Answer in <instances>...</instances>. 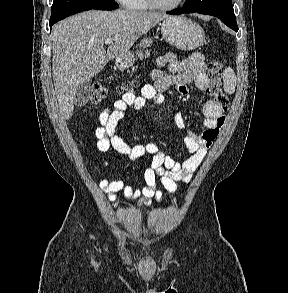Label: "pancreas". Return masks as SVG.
I'll return each instance as SVG.
<instances>
[{"instance_id": "cf45deb5", "label": "pancreas", "mask_w": 288, "mask_h": 293, "mask_svg": "<svg viewBox=\"0 0 288 293\" xmlns=\"http://www.w3.org/2000/svg\"><path fill=\"white\" fill-rule=\"evenodd\" d=\"M136 55L139 59H143L144 57L150 56V51H146L145 54L142 51H137Z\"/></svg>"}]
</instances>
